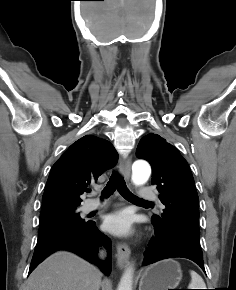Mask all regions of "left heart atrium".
Masks as SVG:
<instances>
[{
  "label": "left heart atrium",
  "instance_id": "39dd6f15",
  "mask_svg": "<svg viewBox=\"0 0 236 290\" xmlns=\"http://www.w3.org/2000/svg\"><path fill=\"white\" fill-rule=\"evenodd\" d=\"M104 226L115 235H129L132 232V216L125 210L116 211L106 217Z\"/></svg>",
  "mask_w": 236,
  "mask_h": 290
}]
</instances>
